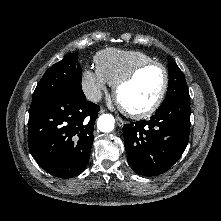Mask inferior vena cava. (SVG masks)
Masks as SVG:
<instances>
[{
  "mask_svg": "<svg viewBox=\"0 0 221 221\" xmlns=\"http://www.w3.org/2000/svg\"><path fill=\"white\" fill-rule=\"evenodd\" d=\"M85 94L87 99L92 102H98L102 98V92L96 88L87 90Z\"/></svg>",
  "mask_w": 221,
  "mask_h": 221,
  "instance_id": "602c4592",
  "label": "inferior vena cava"
}]
</instances>
